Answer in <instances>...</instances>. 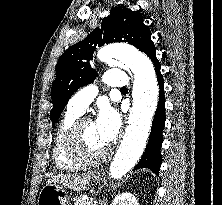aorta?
<instances>
[{"label": "aorta", "instance_id": "obj_1", "mask_svg": "<svg viewBox=\"0 0 222 205\" xmlns=\"http://www.w3.org/2000/svg\"><path fill=\"white\" fill-rule=\"evenodd\" d=\"M99 57L109 64L126 67L134 75L128 126L108 169L109 178L119 180L136 165L146 149L159 87L151 60L135 47L110 44L100 50Z\"/></svg>", "mask_w": 222, "mask_h": 205}]
</instances>
